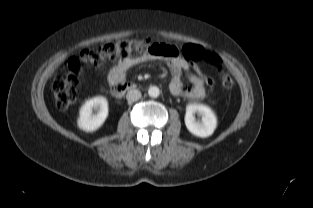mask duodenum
Wrapping results in <instances>:
<instances>
[{
	"mask_svg": "<svg viewBox=\"0 0 313 208\" xmlns=\"http://www.w3.org/2000/svg\"><path fill=\"white\" fill-rule=\"evenodd\" d=\"M136 88V84L129 82V83H121L112 86V91L116 96H120L127 91L133 90Z\"/></svg>",
	"mask_w": 313,
	"mask_h": 208,
	"instance_id": "obj_1",
	"label": "duodenum"
}]
</instances>
